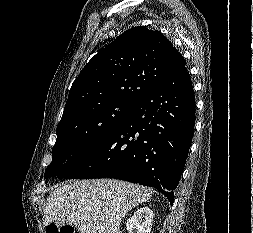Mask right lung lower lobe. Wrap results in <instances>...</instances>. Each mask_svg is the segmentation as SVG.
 I'll return each mask as SVG.
<instances>
[{
	"label": "right lung lower lobe",
	"instance_id": "right-lung-lower-lobe-1",
	"mask_svg": "<svg viewBox=\"0 0 253 233\" xmlns=\"http://www.w3.org/2000/svg\"><path fill=\"white\" fill-rule=\"evenodd\" d=\"M195 123V96L186 67L148 88L119 127L60 178H115L151 186L171 205Z\"/></svg>",
	"mask_w": 253,
	"mask_h": 233
}]
</instances>
